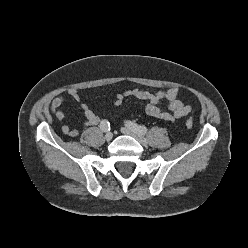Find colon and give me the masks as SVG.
Segmentation results:
<instances>
[{
  "instance_id": "5ec220e1",
  "label": "colon",
  "mask_w": 248,
  "mask_h": 248,
  "mask_svg": "<svg viewBox=\"0 0 248 248\" xmlns=\"http://www.w3.org/2000/svg\"><path fill=\"white\" fill-rule=\"evenodd\" d=\"M186 126H187V128H192L193 127V121H192V119H187L186 120Z\"/></svg>"
}]
</instances>
